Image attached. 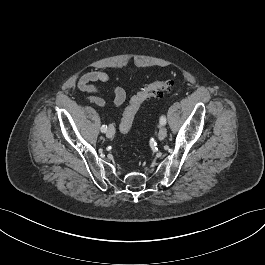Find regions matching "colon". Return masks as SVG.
I'll return each mask as SVG.
<instances>
[{
  "mask_svg": "<svg viewBox=\"0 0 265 265\" xmlns=\"http://www.w3.org/2000/svg\"><path fill=\"white\" fill-rule=\"evenodd\" d=\"M173 87L174 82L171 80H155L134 95L123 113L120 123L121 133L127 134L131 130L135 115L144 102L161 97L163 93L171 91Z\"/></svg>",
  "mask_w": 265,
  "mask_h": 265,
  "instance_id": "colon-1",
  "label": "colon"
}]
</instances>
